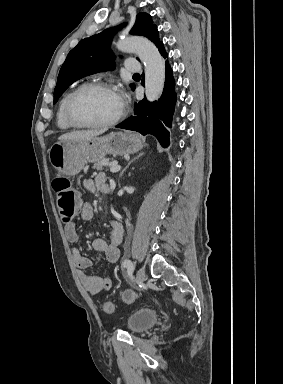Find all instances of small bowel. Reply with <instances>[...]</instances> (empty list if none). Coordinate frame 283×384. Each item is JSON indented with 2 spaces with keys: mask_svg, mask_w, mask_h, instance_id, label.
I'll list each match as a JSON object with an SVG mask.
<instances>
[{
  "mask_svg": "<svg viewBox=\"0 0 283 384\" xmlns=\"http://www.w3.org/2000/svg\"><path fill=\"white\" fill-rule=\"evenodd\" d=\"M84 187L90 192L106 191L107 178L104 174H98L84 181ZM81 218L89 221L93 218L94 210L90 203H84L80 209ZM111 229L110 241L106 242L102 238H94L92 240V248L96 252L103 253L109 263H115L120 257L119 245L124 236V228L117 220H112L109 223ZM64 232L67 240L70 243L79 241V234L76 225L73 222L67 223L64 227ZM72 259L74 265L78 269V277L83 288L92 295H96L102 291L110 290L112 287V278L110 276L96 277L88 275L85 270L93 265L91 258L83 255L78 249L72 251Z\"/></svg>",
  "mask_w": 283,
  "mask_h": 384,
  "instance_id": "obj_1",
  "label": "small bowel"
}]
</instances>
